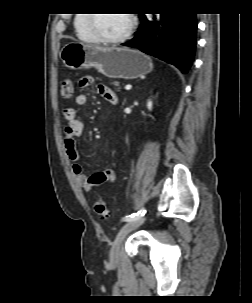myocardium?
<instances>
[{
	"mask_svg": "<svg viewBox=\"0 0 252 303\" xmlns=\"http://www.w3.org/2000/svg\"><path fill=\"white\" fill-rule=\"evenodd\" d=\"M128 16H129V25H128L127 29L125 30V32L119 36L108 37V36L103 35L96 29V27H95L96 19H97L96 14L95 15L91 14V16H89V23H90L91 30L94 34V39L104 42V43H120V42H123L126 39H128L137 24V18H136L135 14L128 13Z\"/></svg>",
	"mask_w": 252,
	"mask_h": 303,
	"instance_id": "myocardium-1",
	"label": "myocardium"
}]
</instances>
